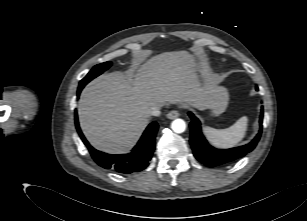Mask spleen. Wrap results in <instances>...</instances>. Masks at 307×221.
<instances>
[{
	"label": "spleen",
	"instance_id": "3e777b00",
	"mask_svg": "<svg viewBox=\"0 0 307 221\" xmlns=\"http://www.w3.org/2000/svg\"><path fill=\"white\" fill-rule=\"evenodd\" d=\"M248 127L246 116L238 119L232 126L226 129H215L209 126L203 128V132L209 142L220 148L236 146L245 136Z\"/></svg>",
	"mask_w": 307,
	"mask_h": 221
}]
</instances>
